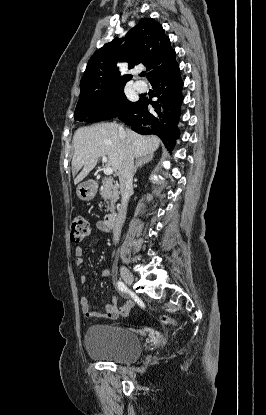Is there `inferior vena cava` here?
Here are the masks:
<instances>
[{
	"instance_id": "1",
	"label": "inferior vena cava",
	"mask_w": 266,
	"mask_h": 415,
	"mask_svg": "<svg viewBox=\"0 0 266 415\" xmlns=\"http://www.w3.org/2000/svg\"><path fill=\"white\" fill-rule=\"evenodd\" d=\"M120 135L124 134L123 127H119ZM133 171H134V157L132 153L124 146L123 147V154L121 158V164L118 169V176L120 182V193H121V205L118 210V215L116 219V225L113 234L114 242H118L119 234L121 231V227L124 223L126 212H127V205L128 200L130 198L131 190H132V179H133Z\"/></svg>"
}]
</instances>
